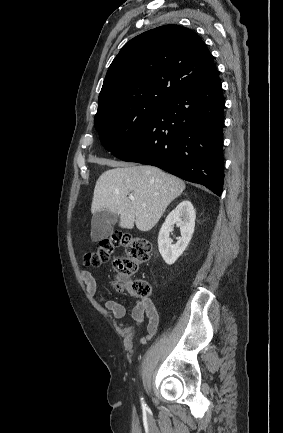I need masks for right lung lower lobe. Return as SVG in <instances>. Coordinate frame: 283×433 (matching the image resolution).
I'll use <instances>...</instances> for the list:
<instances>
[{
  "mask_svg": "<svg viewBox=\"0 0 283 433\" xmlns=\"http://www.w3.org/2000/svg\"><path fill=\"white\" fill-rule=\"evenodd\" d=\"M224 97L218 77L168 101L117 158L157 166L184 180L223 191Z\"/></svg>",
  "mask_w": 283,
  "mask_h": 433,
  "instance_id": "obj_1",
  "label": "right lung lower lobe"
}]
</instances>
